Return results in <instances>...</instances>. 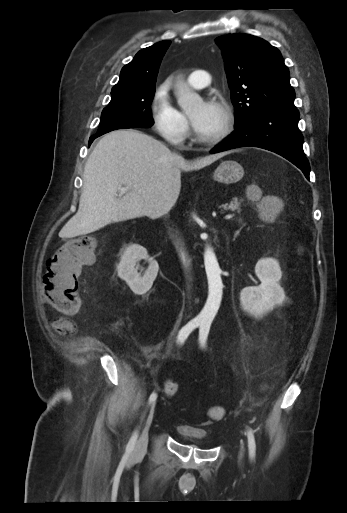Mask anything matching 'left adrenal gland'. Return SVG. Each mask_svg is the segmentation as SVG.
Here are the masks:
<instances>
[{
  "label": "left adrenal gland",
  "mask_w": 347,
  "mask_h": 513,
  "mask_svg": "<svg viewBox=\"0 0 347 513\" xmlns=\"http://www.w3.org/2000/svg\"><path fill=\"white\" fill-rule=\"evenodd\" d=\"M239 232H240V230H237V231L235 232L233 240H235V239L237 238V236H238Z\"/></svg>",
  "instance_id": "obj_1"
}]
</instances>
